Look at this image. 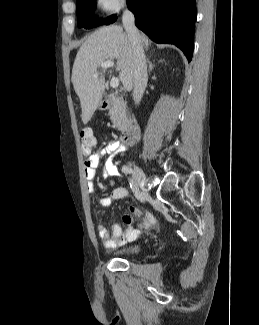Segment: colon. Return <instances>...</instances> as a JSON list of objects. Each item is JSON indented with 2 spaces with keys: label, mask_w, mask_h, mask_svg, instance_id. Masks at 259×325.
Returning a JSON list of instances; mask_svg holds the SVG:
<instances>
[{
  "label": "colon",
  "mask_w": 259,
  "mask_h": 325,
  "mask_svg": "<svg viewBox=\"0 0 259 325\" xmlns=\"http://www.w3.org/2000/svg\"><path fill=\"white\" fill-rule=\"evenodd\" d=\"M80 142H81V150L83 154L88 155L91 153L94 145H95V138L93 135V131L90 128H83L80 131ZM155 222L148 226V227H142L143 231L149 230L152 227H154Z\"/></svg>",
  "instance_id": "obj_1"
}]
</instances>
